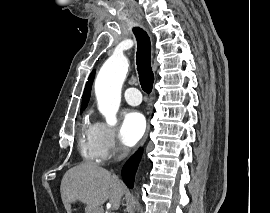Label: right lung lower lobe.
I'll use <instances>...</instances> for the list:
<instances>
[{
	"mask_svg": "<svg viewBox=\"0 0 270 213\" xmlns=\"http://www.w3.org/2000/svg\"><path fill=\"white\" fill-rule=\"evenodd\" d=\"M141 157V152L138 151L132 156L125 164L122 170V177L126 185L130 188L133 187L134 175Z\"/></svg>",
	"mask_w": 270,
	"mask_h": 213,
	"instance_id": "obj_1",
	"label": "right lung lower lobe"
}]
</instances>
